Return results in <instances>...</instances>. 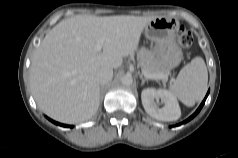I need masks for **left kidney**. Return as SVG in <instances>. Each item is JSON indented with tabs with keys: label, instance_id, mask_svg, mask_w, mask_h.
Instances as JSON below:
<instances>
[{
	"label": "left kidney",
	"instance_id": "5707ae66",
	"mask_svg": "<svg viewBox=\"0 0 238 158\" xmlns=\"http://www.w3.org/2000/svg\"><path fill=\"white\" fill-rule=\"evenodd\" d=\"M142 105L147 114L160 121H175L180 118L181 110L177 99L167 90L146 88L141 93ZM164 104L159 108L155 100Z\"/></svg>",
	"mask_w": 238,
	"mask_h": 158
}]
</instances>
